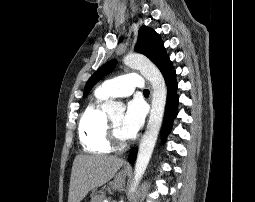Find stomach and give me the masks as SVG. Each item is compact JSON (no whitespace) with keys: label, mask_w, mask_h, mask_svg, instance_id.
<instances>
[{"label":"stomach","mask_w":255,"mask_h":202,"mask_svg":"<svg viewBox=\"0 0 255 202\" xmlns=\"http://www.w3.org/2000/svg\"><path fill=\"white\" fill-rule=\"evenodd\" d=\"M123 186H111V189L113 190H119L121 189Z\"/></svg>","instance_id":"stomach-1"}]
</instances>
